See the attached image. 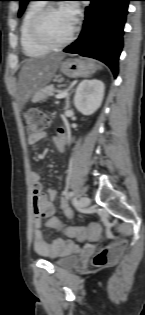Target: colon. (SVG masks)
<instances>
[{"instance_id": "obj_1", "label": "colon", "mask_w": 145, "mask_h": 315, "mask_svg": "<svg viewBox=\"0 0 145 315\" xmlns=\"http://www.w3.org/2000/svg\"><path fill=\"white\" fill-rule=\"evenodd\" d=\"M25 128L28 135L40 132L47 127L49 120L40 111L28 109L24 112ZM64 233L79 240L93 239L99 236L100 228L98 224L92 223L87 227H68ZM123 249V243H115L100 250L94 257V264L98 266L113 263L118 259Z\"/></svg>"}]
</instances>
